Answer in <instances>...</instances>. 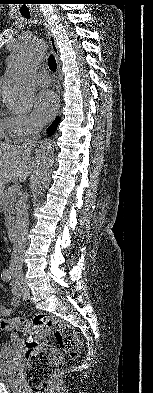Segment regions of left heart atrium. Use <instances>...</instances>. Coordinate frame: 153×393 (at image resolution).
<instances>
[{
  "label": "left heart atrium",
  "instance_id": "1",
  "mask_svg": "<svg viewBox=\"0 0 153 393\" xmlns=\"http://www.w3.org/2000/svg\"><path fill=\"white\" fill-rule=\"evenodd\" d=\"M58 97L52 90L41 91L34 101V114L38 121H49L58 110Z\"/></svg>",
  "mask_w": 153,
  "mask_h": 393
}]
</instances>
